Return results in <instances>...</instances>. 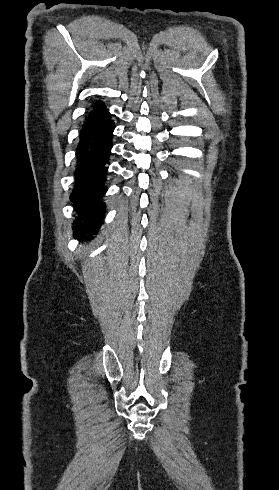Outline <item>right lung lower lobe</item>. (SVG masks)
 I'll use <instances>...</instances> for the list:
<instances>
[{"instance_id":"98d812e1","label":"right lung lower lobe","mask_w":279,"mask_h":490,"mask_svg":"<svg viewBox=\"0 0 279 490\" xmlns=\"http://www.w3.org/2000/svg\"><path fill=\"white\" fill-rule=\"evenodd\" d=\"M114 122L87 135L80 136L77 147L75 186L70 201L76 212L72 223L73 235L78 239H93L104 219L106 205L105 179L112 148Z\"/></svg>"}]
</instances>
